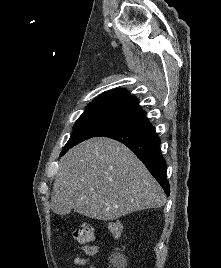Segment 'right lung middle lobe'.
Returning a JSON list of instances; mask_svg holds the SVG:
<instances>
[{
	"instance_id": "dd1d6c3e",
	"label": "right lung middle lobe",
	"mask_w": 221,
	"mask_h": 268,
	"mask_svg": "<svg viewBox=\"0 0 221 268\" xmlns=\"http://www.w3.org/2000/svg\"><path fill=\"white\" fill-rule=\"evenodd\" d=\"M126 122L123 117L104 111H85L74 125V132L63 148L61 155L76 144L94 137L103 131Z\"/></svg>"
}]
</instances>
